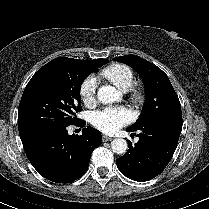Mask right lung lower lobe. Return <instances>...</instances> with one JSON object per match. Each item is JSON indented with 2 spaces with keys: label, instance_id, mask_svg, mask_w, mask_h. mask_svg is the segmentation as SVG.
<instances>
[{
  "label": "right lung lower lobe",
  "instance_id": "right-lung-lower-lobe-1",
  "mask_svg": "<svg viewBox=\"0 0 209 209\" xmlns=\"http://www.w3.org/2000/svg\"><path fill=\"white\" fill-rule=\"evenodd\" d=\"M73 125L84 127L79 119ZM67 127V126H66ZM66 127L53 128L21 139L33 167L44 178L56 183H71L87 170L92 151L101 145V134L88 126L81 136L68 135Z\"/></svg>",
  "mask_w": 209,
  "mask_h": 209
}]
</instances>
